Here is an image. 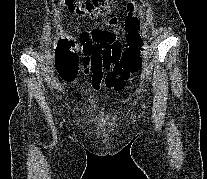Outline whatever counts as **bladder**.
<instances>
[{
  "label": "bladder",
  "mask_w": 207,
  "mask_h": 179,
  "mask_svg": "<svg viewBox=\"0 0 207 179\" xmlns=\"http://www.w3.org/2000/svg\"><path fill=\"white\" fill-rule=\"evenodd\" d=\"M88 102H94L96 99H95V97H88Z\"/></svg>",
  "instance_id": "1"
}]
</instances>
